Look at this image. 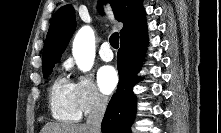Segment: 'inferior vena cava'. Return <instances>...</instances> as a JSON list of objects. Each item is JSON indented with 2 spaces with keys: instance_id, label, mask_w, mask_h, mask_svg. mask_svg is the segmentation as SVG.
I'll use <instances>...</instances> for the list:
<instances>
[{
  "instance_id": "inferior-vena-cava-1",
  "label": "inferior vena cava",
  "mask_w": 221,
  "mask_h": 133,
  "mask_svg": "<svg viewBox=\"0 0 221 133\" xmlns=\"http://www.w3.org/2000/svg\"><path fill=\"white\" fill-rule=\"evenodd\" d=\"M107 106V99L100 94H95L91 110L88 114L86 126L89 133H101V122Z\"/></svg>"
}]
</instances>
